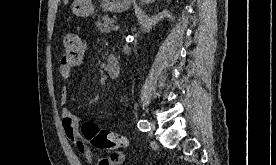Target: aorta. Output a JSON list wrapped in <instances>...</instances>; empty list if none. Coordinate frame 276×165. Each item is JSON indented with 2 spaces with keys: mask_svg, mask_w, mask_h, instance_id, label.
<instances>
[{
  "mask_svg": "<svg viewBox=\"0 0 276 165\" xmlns=\"http://www.w3.org/2000/svg\"><path fill=\"white\" fill-rule=\"evenodd\" d=\"M141 4H149L150 2L154 0H139Z\"/></svg>",
  "mask_w": 276,
  "mask_h": 165,
  "instance_id": "aorta-1",
  "label": "aorta"
}]
</instances>
